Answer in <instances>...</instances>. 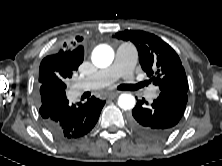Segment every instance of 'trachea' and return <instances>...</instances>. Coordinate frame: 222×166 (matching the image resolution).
Segmentation results:
<instances>
[{"mask_svg": "<svg viewBox=\"0 0 222 166\" xmlns=\"http://www.w3.org/2000/svg\"><path fill=\"white\" fill-rule=\"evenodd\" d=\"M145 85L144 82H141L137 85H126V84H123V85H120L118 86V89L119 90H137L138 88H141Z\"/></svg>", "mask_w": 222, "mask_h": 166, "instance_id": "1", "label": "trachea"}]
</instances>
